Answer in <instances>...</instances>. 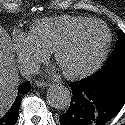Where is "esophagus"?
<instances>
[{
  "instance_id": "34e87169",
  "label": "esophagus",
  "mask_w": 125,
  "mask_h": 125,
  "mask_svg": "<svg viewBox=\"0 0 125 125\" xmlns=\"http://www.w3.org/2000/svg\"><path fill=\"white\" fill-rule=\"evenodd\" d=\"M36 85L38 86V87H47V86H49V83H47V82H44V81H36Z\"/></svg>"
}]
</instances>
